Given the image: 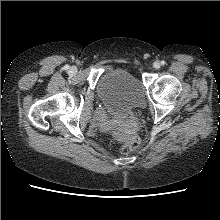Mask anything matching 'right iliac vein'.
Wrapping results in <instances>:
<instances>
[{
    "label": "right iliac vein",
    "instance_id": "1",
    "mask_svg": "<svg viewBox=\"0 0 220 220\" xmlns=\"http://www.w3.org/2000/svg\"><path fill=\"white\" fill-rule=\"evenodd\" d=\"M70 73L71 74H76L77 73V69L75 67H71L70 68Z\"/></svg>",
    "mask_w": 220,
    "mask_h": 220
}]
</instances>
